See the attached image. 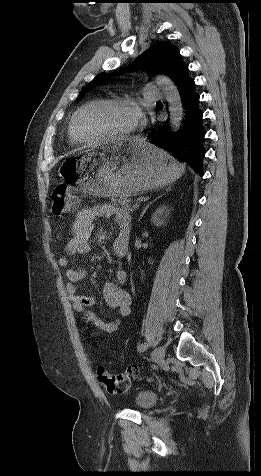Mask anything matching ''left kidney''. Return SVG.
<instances>
[{
    "instance_id": "obj_1",
    "label": "left kidney",
    "mask_w": 261,
    "mask_h": 476,
    "mask_svg": "<svg viewBox=\"0 0 261 476\" xmlns=\"http://www.w3.org/2000/svg\"><path fill=\"white\" fill-rule=\"evenodd\" d=\"M168 212L169 210L165 205L159 207L158 209H156L155 213L152 215L151 222L156 226L163 225L165 222V218L169 214Z\"/></svg>"
}]
</instances>
